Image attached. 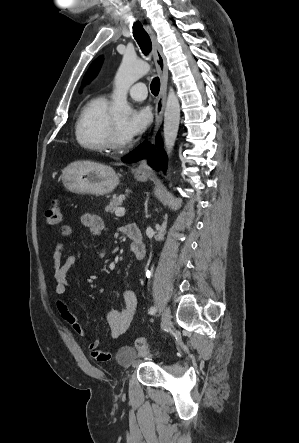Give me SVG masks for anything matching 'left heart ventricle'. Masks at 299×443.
Masks as SVG:
<instances>
[{
  "mask_svg": "<svg viewBox=\"0 0 299 443\" xmlns=\"http://www.w3.org/2000/svg\"><path fill=\"white\" fill-rule=\"evenodd\" d=\"M113 121L116 124V126L120 132V136H121L122 140H129L125 137V135L123 134V131H122V128H123V125H124L126 119L124 117H119V118H114Z\"/></svg>",
  "mask_w": 299,
  "mask_h": 443,
  "instance_id": "b2bd125f",
  "label": "left heart ventricle"
}]
</instances>
